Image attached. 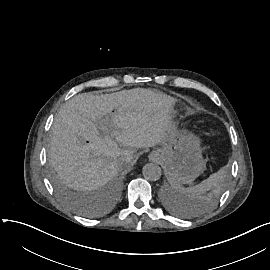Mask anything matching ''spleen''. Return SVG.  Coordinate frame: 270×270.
<instances>
[{"mask_svg":"<svg viewBox=\"0 0 270 270\" xmlns=\"http://www.w3.org/2000/svg\"><path fill=\"white\" fill-rule=\"evenodd\" d=\"M226 176L227 171L222 168L194 187L183 188L179 184H172L171 188L174 191L175 198L181 201L184 208L196 209L195 206L201 200L202 195L212 188L220 189L226 180Z\"/></svg>","mask_w":270,"mask_h":270,"instance_id":"spleen-1","label":"spleen"}]
</instances>
